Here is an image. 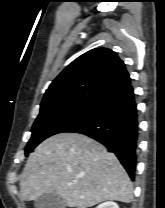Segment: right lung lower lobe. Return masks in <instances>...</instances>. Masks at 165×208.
I'll list each match as a JSON object with an SVG mask.
<instances>
[{
    "label": "right lung lower lobe",
    "mask_w": 165,
    "mask_h": 208,
    "mask_svg": "<svg viewBox=\"0 0 165 208\" xmlns=\"http://www.w3.org/2000/svg\"><path fill=\"white\" fill-rule=\"evenodd\" d=\"M135 95L131 84L112 93L95 104L92 111L65 132L87 135L116 154L121 164L134 180L138 120Z\"/></svg>",
    "instance_id": "98d812e1"
}]
</instances>
